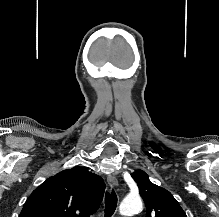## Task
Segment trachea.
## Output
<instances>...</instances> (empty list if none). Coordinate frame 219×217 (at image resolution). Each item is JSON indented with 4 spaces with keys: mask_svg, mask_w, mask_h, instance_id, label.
<instances>
[{
    "mask_svg": "<svg viewBox=\"0 0 219 217\" xmlns=\"http://www.w3.org/2000/svg\"><path fill=\"white\" fill-rule=\"evenodd\" d=\"M117 207V195L112 189L110 193L106 192L105 194V217H111Z\"/></svg>",
    "mask_w": 219,
    "mask_h": 217,
    "instance_id": "obj_1",
    "label": "trachea"
}]
</instances>
